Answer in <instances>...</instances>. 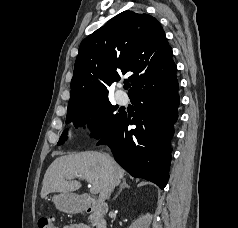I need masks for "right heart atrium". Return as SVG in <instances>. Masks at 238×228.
I'll return each instance as SVG.
<instances>
[{"instance_id": "right-heart-atrium-1", "label": "right heart atrium", "mask_w": 238, "mask_h": 228, "mask_svg": "<svg viewBox=\"0 0 238 228\" xmlns=\"http://www.w3.org/2000/svg\"><path fill=\"white\" fill-rule=\"evenodd\" d=\"M86 127L90 133H95L98 129V119L95 116H90L86 121Z\"/></svg>"}]
</instances>
